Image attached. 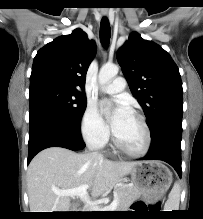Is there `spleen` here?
<instances>
[{
	"label": "spleen",
	"instance_id": "spleen-1",
	"mask_svg": "<svg viewBox=\"0 0 203 219\" xmlns=\"http://www.w3.org/2000/svg\"><path fill=\"white\" fill-rule=\"evenodd\" d=\"M179 200H180V186L178 183H175L169 196L168 200L165 203V211H172L179 209Z\"/></svg>",
	"mask_w": 203,
	"mask_h": 219
}]
</instances>
